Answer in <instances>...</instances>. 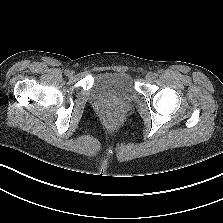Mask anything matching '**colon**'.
Here are the masks:
<instances>
[{
    "mask_svg": "<svg viewBox=\"0 0 223 223\" xmlns=\"http://www.w3.org/2000/svg\"><path fill=\"white\" fill-rule=\"evenodd\" d=\"M104 122H105V125L108 128H112V127H114L116 120H115V117L112 114L106 113L105 118H104Z\"/></svg>",
    "mask_w": 223,
    "mask_h": 223,
    "instance_id": "obj_1",
    "label": "colon"
}]
</instances>
